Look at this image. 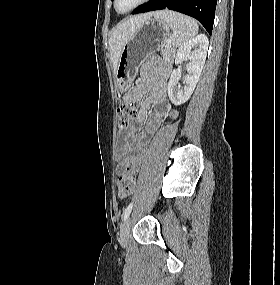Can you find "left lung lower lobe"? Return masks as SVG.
Wrapping results in <instances>:
<instances>
[{
	"mask_svg": "<svg viewBox=\"0 0 280 285\" xmlns=\"http://www.w3.org/2000/svg\"><path fill=\"white\" fill-rule=\"evenodd\" d=\"M217 0H150L133 14L170 9L196 18L211 35Z\"/></svg>",
	"mask_w": 280,
	"mask_h": 285,
	"instance_id": "obj_1",
	"label": "left lung lower lobe"
}]
</instances>
